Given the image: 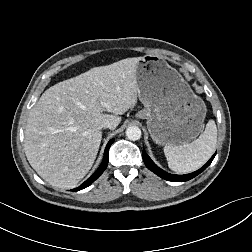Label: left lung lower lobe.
I'll return each instance as SVG.
<instances>
[{"mask_svg": "<svg viewBox=\"0 0 252 252\" xmlns=\"http://www.w3.org/2000/svg\"><path fill=\"white\" fill-rule=\"evenodd\" d=\"M216 154H214L211 159L199 170L190 173V174H186V175H173V174H169L166 173L165 171H163L162 169H160L151 159L150 157L146 154L145 150H143L142 152V157L144 160V163L146 165V167L151 170L152 172H154L155 174H157L158 176H160L161 178L168 180V181H172V182H184V181H188L192 178H194L195 176H197L198 174H200L201 172H203L212 162V160L214 159Z\"/></svg>", "mask_w": 252, "mask_h": 252, "instance_id": "left-lung-lower-lobe-1", "label": "left lung lower lobe"}]
</instances>
